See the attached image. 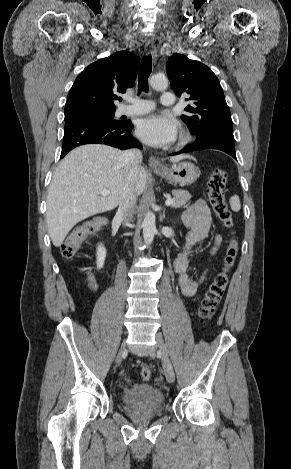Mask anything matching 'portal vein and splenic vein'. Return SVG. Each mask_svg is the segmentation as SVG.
Listing matches in <instances>:
<instances>
[{
  "label": "portal vein and splenic vein",
  "mask_w": 291,
  "mask_h": 469,
  "mask_svg": "<svg viewBox=\"0 0 291 469\" xmlns=\"http://www.w3.org/2000/svg\"><path fill=\"white\" fill-rule=\"evenodd\" d=\"M109 193H110L109 190L102 191V195H104V196L109 195ZM165 204H166V206H171L173 204V199H167Z\"/></svg>",
  "instance_id": "1"
}]
</instances>
